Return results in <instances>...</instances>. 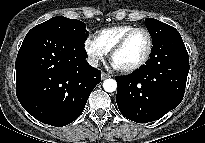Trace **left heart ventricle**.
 <instances>
[{"label": "left heart ventricle", "mask_w": 205, "mask_h": 143, "mask_svg": "<svg viewBox=\"0 0 205 143\" xmlns=\"http://www.w3.org/2000/svg\"><path fill=\"white\" fill-rule=\"evenodd\" d=\"M148 47V38L142 31L135 32L127 41L125 47L118 52L113 63L118 68L131 67L144 57Z\"/></svg>", "instance_id": "1"}]
</instances>
